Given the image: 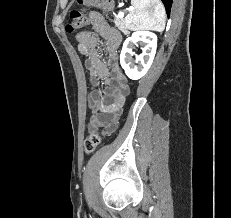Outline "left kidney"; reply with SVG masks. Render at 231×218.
<instances>
[{
  "mask_svg": "<svg viewBox=\"0 0 231 218\" xmlns=\"http://www.w3.org/2000/svg\"><path fill=\"white\" fill-rule=\"evenodd\" d=\"M139 42L142 43L144 47L142 48V54L136 55V60H134L132 56L135 55V52L132 50ZM156 48L157 36L150 31H136L132 33L131 37L125 40L120 54V64L130 79H140L147 73L152 65ZM138 62L140 66L135 65V63Z\"/></svg>",
  "mask_w": 231,
  "mask_h": 218,
  "instance_id": "left-kidney-1",
  "label": "left kidney"
}]
</instances>
